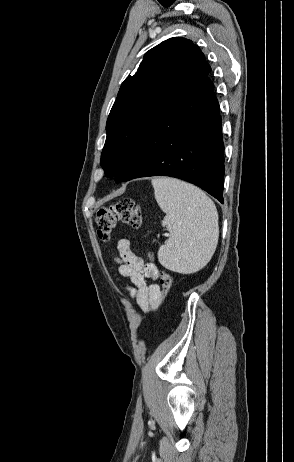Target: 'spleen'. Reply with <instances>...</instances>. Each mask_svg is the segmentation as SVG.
<instances>
[{
	"mask_svg": "<svg viewBox=\"0 0 294 462\" xmlns=\"http://www.w3.org/2000/svg\"><path fill=\"white\" fill-rule=\"evenodd\" d=\"M155 199L166 213L162 225L169 239L158 251L165 268L191 274L202 269L213 256L219 236L218 213L214 202L198 187L184 181L152 179Z\"/></svg>",
	"mask_w": 294,
	"mask_h": 462,
	"instance_id": "spleen-1",
	"label": "spleen"
}]
</instances>
